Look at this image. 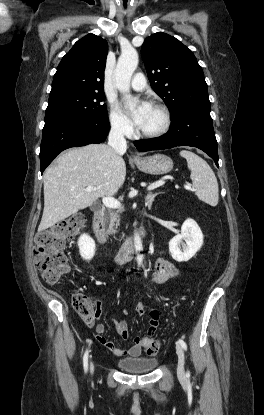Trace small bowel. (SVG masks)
Instances as JSON below:
<instances>
[{"label":"small bowel","instance_id":"1","mask_svg":"<svg viewBox=\"0 0 264 415\" xmlns=\"http://www.w3.org/2000/svg\"><path fill=\"white\" fill-rule=\"evenodd\" d=\"M176 274V269L173 263L164 258H158L155 262L154 269L149 278L150 284L157 285L165 282L170 277ZM135 312L137 314H142L147 309V304L144 301H138L135 304ZM159 312L152 310L149 313V324H148V334L152 335L159 324ZM105 325L99 324L96 326V338L98 342L111 351L114 355L124 356L127 358H137L140 356L142 349L145 348L142 338L135 337L134 343L127 349H121L115 345L114 342L107 340L103 333L105 332ZM116 329L119 335L123 338L129 337V330L125 321H118L116 323Z\"/></svg>","mask_w":264,"mask_h":415}]
</instances>
